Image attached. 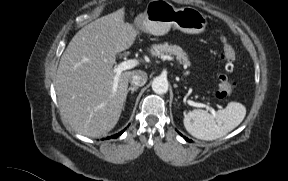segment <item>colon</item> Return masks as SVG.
I'll list each match as a JSON object with an SVG mask.
<instances>
[{"mask_svg":"<svg viewBox=\"0 0 288 181\" xmlns=\"http://www.w3.org/2000/svg\"><path fill=\"white\" fill-rule=\"evenodd\" d=\"M221 40L223 43V54L222 57L224 59V70L228 73L234 70V63L236 59V54L233 47L227 41L224 35L221 36ZM234 90L233 83L229 80L226 74L219 75V88L216 92V96L219 99H226L229 97Z\"/></svg>","mask_w":288,"mask_h":181,"instance_id":"1","label":"colon"}]
</instances>
